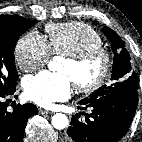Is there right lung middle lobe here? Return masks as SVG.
Returning <instances> with one entry per match:
<instances>
[{"mask_svg": "<svg viewBox=\"0 0 142 142\" xmlns=\"http://www.w3.org/2000/svg\"><path fill=\"white\" fill-rule=\"evenodd\" d=\"M35 24L18 16H0V93L16 86L15 45L22 33Z\"/></svg>", "mask_w": 142, "mask_h": 142, "instance_id": "1", "label": "right lung middle lobe"}]
</instances>
